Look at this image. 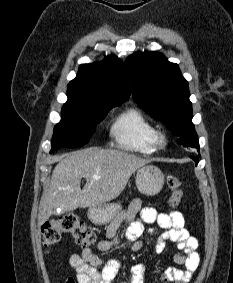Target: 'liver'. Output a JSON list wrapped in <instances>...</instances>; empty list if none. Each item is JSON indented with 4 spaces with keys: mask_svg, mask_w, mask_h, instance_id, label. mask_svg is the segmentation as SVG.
<instances>
[{
    "mask_svg": "<svg viewBox=\"0 0 233 283\" xmlns=\"http://www.w3.org/2000/svg\"><path fill=\"white\" fill-rule=\"evenodd\" d=\"M47 192L42 196L38 225L44 224L54 209L72 211L103 205L117 198L132 174L150 160L121 150L90 148L66 157L56 156ZM93 176L100 177L93 179ZM86 184L81 189V179Z\"/></svg>",
    "mask_w": 233,
    "mask_h": 283,
    "instance_id": "1",
    "label": "liver"
}]
</instances>
